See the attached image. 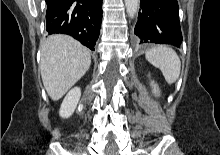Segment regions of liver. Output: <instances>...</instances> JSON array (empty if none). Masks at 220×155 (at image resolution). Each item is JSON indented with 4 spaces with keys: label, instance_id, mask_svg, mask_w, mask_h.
<instances>
[{
    "label": "liver",
    "instance_id": "1",
    "mask_svg": "<svg viewBox=\"0 0 220 155\" xmlns=\"http://www.w3.org/2000/svg\"><path fill=\"white\" fill-rule=\"evenodd\" d=\"M90 51L67 35H52L41 48L40 70L44 87L54 101L65 93L88 71Z\"/></svg>",
    "mask_w": 220,
    "mask_h": 155
}]
</instances>
